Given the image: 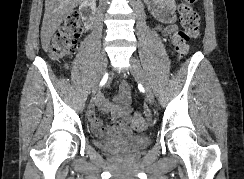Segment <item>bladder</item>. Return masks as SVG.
<instances>
[{
  "instance_id": "obj_1",
  "label": "bladder",
  "mask_w": 244,
  "mask_h": 179,
  "mask_svg": "<svg viewBox=\"0 0 244 179\" xmlns=\"http://www.w3.org/2000/svg\"><path fill=\"white\" fill-rule=\"evenodd\" d=\"M150 144V137L142 136L139 138L123 141V144L119 148L114 149L113 152L124 155L139 154L150 147Z\"/></svg>"
}]
</instances>
